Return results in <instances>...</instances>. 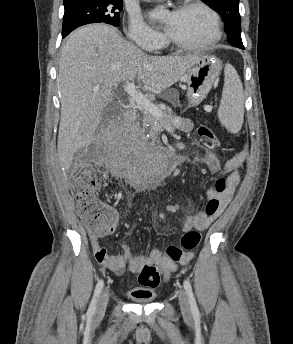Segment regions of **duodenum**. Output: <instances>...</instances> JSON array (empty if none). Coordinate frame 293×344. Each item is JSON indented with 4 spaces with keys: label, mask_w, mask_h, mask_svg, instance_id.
<instances>
[{
    "label": "duodenum",
    "mask_w": 293,
    "mask_h": 344,
    "mask_svg": "<svg viewBox=\"0 0 293 344\" xmlns=\"http://www.w3.org/2000/svg\"><path fill=\"white\" fill-rule=\"evenodd\" d=\"M132 119H133V113L130 111L126 112L125 120L130 121ZM169 159H170V165L173 167H179L186 162V158L183 155L175 153V152H172L169 155Z\"/></svg>",
    "instance_id": "obj_1"
}]
</instances>
